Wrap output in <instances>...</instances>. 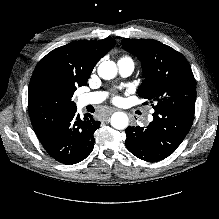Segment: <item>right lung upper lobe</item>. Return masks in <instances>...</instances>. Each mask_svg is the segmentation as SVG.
<instances>
[{
    "label": "right lung upper lobe",
    "mask_w": 219,
    "mask_h": 219,
    "mask_svg": "<svg viewBox=\"0 0 219 219\" xmlns=\"http://www.w3.org/2000/svg\"><path fill=\"white\" fill-rule=\"evenodd\" d=\"M116 44L112 38L74 41L54 49L36 65L29 84L28 109L32 110L37 84H45L66 102L77 87L85 86L96 63Z\"/></svg>",
    "instance_id": "cb5924a9"
}]
</instances>
